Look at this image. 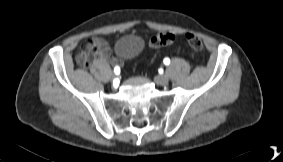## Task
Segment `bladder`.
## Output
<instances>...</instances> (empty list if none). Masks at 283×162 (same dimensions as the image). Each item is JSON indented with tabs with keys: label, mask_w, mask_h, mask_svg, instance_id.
Returning a JSON list of instances; mask_svg holds the SVG:
<instances>
[{
	"label": "bladder",
	"mask_w": 283,
	"mask_h": 162,
	"mask_svg": "<svg viewBox=\"0 0 283 162\" xmlns=\"http://www.w3.org/2000/svg\"><path fill=\"white\" fill-rule=\"evenodd\" d=\"M142 47L143 43L139 37L125 35L117 41L115 51L121 59H132L141 52Z\"/></svg>",
	"instance_id": "1"
}]
</instances>
